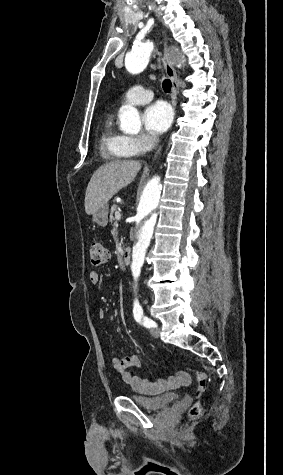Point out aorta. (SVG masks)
Instances as JSON below:
<instances>
[{
  "label": "aorta",
  "instance_id": "obj_1",
  "mask_svg": "<svg viewBox=\"0 0 283 475\" xmlns=\"http://www.w3.org/2000/svg\"><path fill=\"white\" fill-rule=\"evenodd\" d=\"M153 48L151 42H145L134 47L125 57L126 69L132 74L142 72L149 63ZM119 118L120 128L123 132L135 134L140 131L141 120L136 108L129 105L123 106L120 109ZM165 199V185L160 176H154L141 185L137 191L132 217L133 250L130 266L134 279L135 297L137 295L138 278L155 229L161 221ZM134 304H139L137 298H135Z\"/></svg>",
  "mask_w": 283,
  "mask_h": 475
}]
</instances>
